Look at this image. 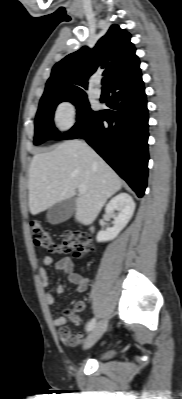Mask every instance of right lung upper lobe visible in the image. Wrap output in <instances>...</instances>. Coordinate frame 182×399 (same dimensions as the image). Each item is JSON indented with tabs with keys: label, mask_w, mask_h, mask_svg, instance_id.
Listing matches in <instances>:
<instances>
[{
	"label": "right lung upper lobe",
	"mask_w": 182,
	"mask_h": 399,
	"mask_svg": "<svg viewBox=\"0 0 182 399\" xmlns=\"http://www.w3.org/2000/svg\"><path fill=\"white\" fill-rule=\"evenodd\" d=\"M130 38L127 31L112 25L93 49L85 46L66 56L53 67L41 100L86 95L87 79L98 68L104 69L109 86L140 73V62Z\"/></svg>",
	"instance_id": "right-lung-upper-lobe-1"
}]
</instances>
